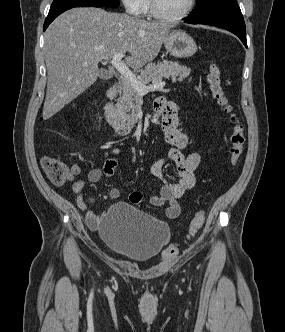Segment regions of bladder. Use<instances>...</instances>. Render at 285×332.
<instances>
[{
    "instance_id": "obj_1",
    "label": "bladder",
    "mask_w": 285,
    "mask_h": 332,
    "mask_svg": "<svg viewBox=\"0 0 285 332\" xmlns=\"http://www.w3.org/2000/svg\"><path fill=\"white\" fill-rule=\"evenodd\" d=\"M99 233L115 254L134 262L160 255L171 236L165 222L125 202L105 211Z\"/></svg>"
}]
</instances>
